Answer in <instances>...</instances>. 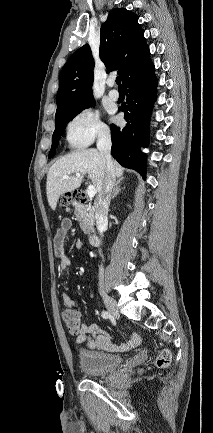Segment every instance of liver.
Returning <instances> with one entry per match:
<instances>
[{
  "label": "liver",
  "mask_w": 213,
  "mask_h": 433,
  "mask_svg": "<svg viewBox=\"0 0 213 433\" xmlns=\"http://www.w3.org/2000/svg\"><path fill=\"white\" fill-rule=\"evenodd\" d=\"M112 163L115 177L122 180V166L114 160ZM85 174L89 175L96 192H100L104 186L106 162L97 149L77 150L57 160L47 174L46 191L49 206L54 210L62 194L79 188ZM64 175L71 176L64 179Z\"/></svg>",
  "instance_id": "obj_1"
}]
</instances>
